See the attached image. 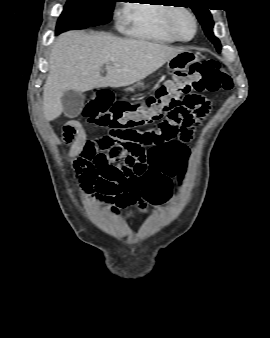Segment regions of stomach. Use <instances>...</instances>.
I'll return each instance as SVG.
<instances>
[{
	"instance_id": "1",
	"label": "stomach",
	"mask_w": 270,
	"mask_h": 338,
	"mask_svg": "<svg viewBox=\"0 0 270 338\" xmlns=\"http://www.w3.org/2000/svg\"><path fill=\"white\" fill-rule=\"evenodd\" d=\"M198 60V56L191 51H183L167 61V68L172 72L185 71L192 63ZM143 82L138 81L128 90L133 91L135 87H143Z\"/></svg>"
}]
</instances>
